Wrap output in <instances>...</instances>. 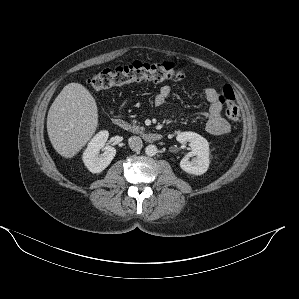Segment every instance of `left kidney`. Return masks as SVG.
<instances>
[{
	"instance_id": "1",
	"label": "left kidney",
	"mask_w": 299,
	"mask_h": 299,
	"mask_svg": "<svg viewBox=\"0 0 299 299\" xmlns=\"http://www.w3.org/2000/svg\"><path fill=\"white\" fill-rule=\"evenodd\" d=\"M180 143H190L191 152L180 162V168L193 175H202L209 168V143L201 135L194 132H181L176 137ZM189 156H194L189 161Z\"/></svg>"
}]
</instances>
